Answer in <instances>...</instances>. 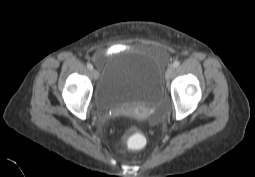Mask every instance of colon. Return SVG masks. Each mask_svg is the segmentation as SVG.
I'll list each match as a JSON object with an SVG mask.
<instances>
[{"mask_svg":"<svg viewBox=\"0 0 255 177\" xmlns=\"http://www.w3.org/2000/svg\"><path fill=\"white\" fill-rule=\"evenodd\" d=\"M143 142V137L137 133L132 134L126 140L127 145L133 149H140L143 145Z\"/></svg>","mask_w":255,"mask_h":177,"instance_id":"1","label":"colon"}]
</instances>
